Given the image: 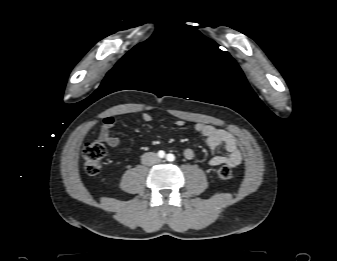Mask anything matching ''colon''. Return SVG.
<instances>
[{
    "label": "colon",
    "mask_w": 337,
    "mask_h": 261,
    "mask_svg": "<svg viewBox=\"0 0 337 261\" xmlns=\"http://www.w3.org/2000/svg\"><path fill=\"white\" fill-rule=\"evenodd\" d=\"M105 154L106 146L102 140H95L84 146L82 157L84 169L88 175H96L100 171ZM217 176L221 180H230L233 173L229 166L223 165L217 169Z\"/></svg>",
    "instance_id": "5ec220e1"
}]
</instances>
